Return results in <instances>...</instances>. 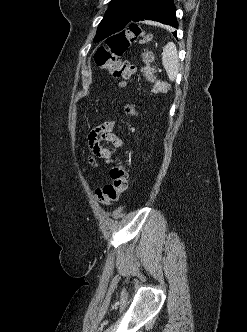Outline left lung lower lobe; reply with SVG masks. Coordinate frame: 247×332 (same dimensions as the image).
Listing matches in <instances>:
<instances>
[{
    "mask_svg": "<svg viewBox=\"0 0 247 332\" xmlns=\"http://www.w3.org/2000/svg\"><path fill=\"white\" fill-rule=\"evenodd\" d=\"M152 20L177 28L176 7L173 0H148L130 19L126 28L135 22Z\"/></svg>",
    "mask_w": 247,
    "mask_h": 332,
    "instance_id": "obj_1",
    "label": "left lung lower lobe"
}]
</instances>
